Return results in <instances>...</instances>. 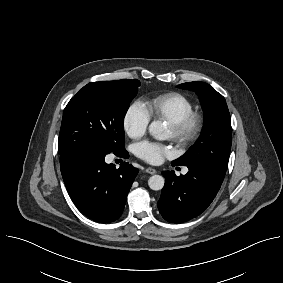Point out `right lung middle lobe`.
<instances>
[{"label": "right lung middle lobe", "instance_id": "1", "mask_svg": "<svg viewBox=\"0 0 283 283\" xmlns=\"http://www.w3.org/2000/svg\"><path fill=\"white\" fill-rule=\"evenodd\" d=\"M140 82H91L65 107L59 135L60 162L83 150L116 153L124 148V117Z\"/></svg>", "mask_w": 283, "mask_h": 283}]
</instances>
